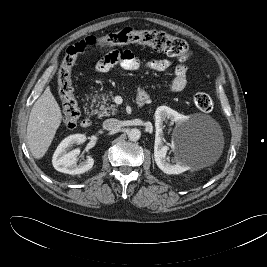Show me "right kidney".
I'll return each instance as SVG.
<instances>
[{
    "label": "right kidney",
    "mask_w": 267,
    "mask_h": 267,
    "mask_svg": "<svg viewBox=\"0 0 267 267\" xmlns=\"http://www.w3.org/2000/svg\"><path fill=\"white\" fill-rule=\"evenodd\" d=\"M86 140L83 134H74L66 137L54 152L52 164L54 168L62 173L76 175L90 170L94 165V159L88 157L86 161L77 164L79 149L68 151L74 144H82Z\"/></svg>",
    "instance_id": "right-kidney-1"
}]
</instances>
